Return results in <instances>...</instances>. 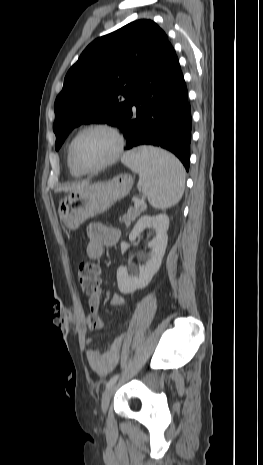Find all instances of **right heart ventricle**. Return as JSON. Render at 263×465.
Masks as SVG:
<instances>
[{
	"instance_id": "1",
	"label": "right heart ventricle",
	"mask_w": 263,
	"mask_h": 465,
	"mask_svg": "<svg viewBox=\"0 0 263 465\" xmlns=\"http://www.w3.org/2000/svg\"><path fill=\"white\" fill-rule=\"evenodd\" d=\"M66 163H67V167H68V169H69V171H70V174H71L73 177H79V176L82 175V174L79 173L77 170H75V168L72 166L68 154H67V158H66Z\"/></svg>"
}]
</instances>
